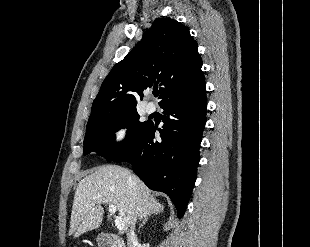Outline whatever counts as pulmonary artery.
I'll list each match as a JSON object with an SVG mask.
<instances>
[{"label": "pulmonary artery", "instance_id": "e3ab8cb5", "mask_svg": "<svg viewBox=\"0 0 310 247\" xmlns=\"http://www.w3.org/2000/svg\"><path fill=\"white\" fill-rule=\"evenodd\" d=\"M145 109H146L147 113L151 114V113L155 112L156 106L154 105V103L149 102V103L146 104Z\"/></svg>", "mask_w": 310, "mask_h": 247}]
</instances>
